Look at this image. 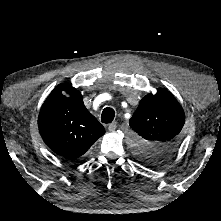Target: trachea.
Instances as JSON below:
<instances>
[{"mask_svg": "<svg viewBox=\"0 0 221 221\" xmlns=\"http://www.w3.org/2000/svg\"><path fill=\"white\" fill-rule=\"evenodd\" d=\"M114 117L115 111L110 107H106L101 114V121L108 124L113 121Z\"/></svg>", "mask_w": 221, "mask_h": 221, "instance_id": "3493384b", "label": "trachea"}]
</instances>
